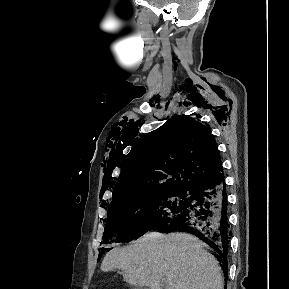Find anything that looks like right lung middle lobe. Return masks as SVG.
Returning <instances> with one entry per match:
<instances>
[{
  "label": "right lung middle lobe",
  "instance_id": "dd1d6c3e",
  "mask_svg": "<svg viewBox=\"0 0 289 289\" xmlns=\"http://www.w3.org/2000/svg\"><path fill=\"white\" fill-rule=\"evenodd\" d=\"M190 190L165 189L133 196L110 205L102 243L136 239L182 212L190 201ZM113 242V241H112Z\"/></svg>",
  "mask_w": 289,
  "mask_h": 289
}]
</instances>
